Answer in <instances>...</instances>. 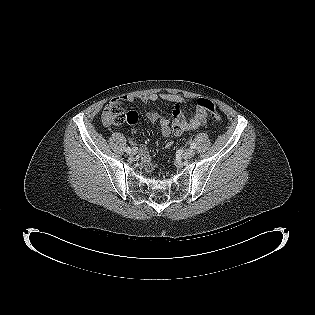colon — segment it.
<instances>
[{
    "instance_id": "colon-1",
    "label": "colon",
    "mask_w": 315,
    "mask_h": 315,
    "mask_svg": "<svg viewBox=\"0 0 315 315\" xmlns=\"http://www.w3.org/2000/svg\"><path fill=\"white\" fill-rule=\"evenodd\" d=\"M197 105L206 109L215 121L221 120V115L218 112L214 103L208 99L200 98L197 100ZM135 112H126L120 100L112 101L104 111V121L108 125L118 126L125 122L133 124L137 121Z\"/></svg>"
}]
</instances>
